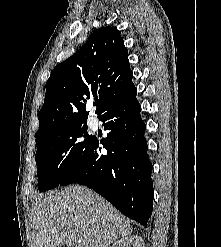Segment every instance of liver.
I'll return each instance as SVG.
<instances>
[{
    "label": "liver",
    "mask_w": 221,
    "mask_h": 247,
    "mask_svg": "<svg viewBox=\"0 0 221 247\" xmlns=\"http://www.w3.org/2000/svg\"><path fill=\"white\" fill-rule=\"evenodd\" d=\"M30 227L32 247H109L132 233L125 216L83 186L40 196L31 211Z\"/></svg>",
    "instance_id": "obj_1"
}]
</instances>
